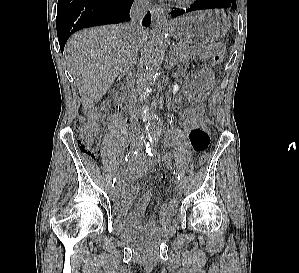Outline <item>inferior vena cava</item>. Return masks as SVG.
Here are the masks:
<instances>
[{
    "label": "inferior vena cava",
    "mask_w": 299,
    "mask_h": 273,
    "mask_svg": "<svg viewBox=\"0 0 299 273\" xmlns=\"http://www.w3.org/2000/svg\"><path fill=\"white\" fill-rule=\"evenodd\" d=\"M147 9H148V0H135L134 1L133 5L131 7V11H130L131 22L128 25L129 28L132 30L133 34L142 29L141 21L145 15ZM130 42H131V44H130V50H129V60H130V66L132 67L133 60L136 58L137 53H138V48L134 44V41L131 40ZM126 68L129 69V65H127ZM130 76L132 77V73H130ZM130 88H132V84L130 85ZM130 99H131L132 111L134 113H136L138 110L136 95L132 94Z\"/></svg>",
    "instance_id": "inferior-vena-cava-1"
}]
</instances>
